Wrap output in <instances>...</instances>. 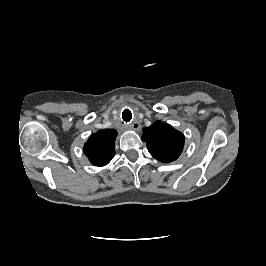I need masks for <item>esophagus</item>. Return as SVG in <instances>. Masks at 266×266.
<instances>
[{
    "instance_id": "esophagus-1",
    "label": "esophagus",
    "mask_w": 266,
    "mask_h": 266,
    "mask_svg": "<svg viewBox=\"0 0 266 266\" xmlns=\"http://www.w3.org/2000/svg\"><path fill=\"white\" fill-rule=\"evenodd\" d=\"M141 125L139 122L135 121L133 122L131 125H130V128L135 130V131H138L140 129Z\"/></svg>"
}]
</instances>
